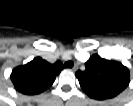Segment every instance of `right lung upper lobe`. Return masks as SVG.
Masks as SVG:
<instances>
[{"label":"right lung upper lobe","mask_w":133,"mask_h":106,"mask_svg":"<svg viewBox=\"0 0 133 106\" xmlns=\"http://www.w3.org/2000/svg\"><path fill=\"white\" fill-rule=\"evenodd\" d=\"M62 69L60 61L50 64L41 57H36L31 62L14 68L11 80L17 91L35 95L48 89Z\"/></svg>","instance_id":"right-lung-upper-lobe-1"}]
</instances>
